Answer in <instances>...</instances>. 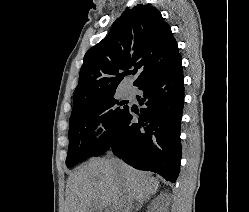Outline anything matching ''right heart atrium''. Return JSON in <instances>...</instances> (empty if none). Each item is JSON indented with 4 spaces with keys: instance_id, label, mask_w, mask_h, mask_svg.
<instances>
[{
    "instance_id": "d8ad5b80",
    "label": "right heart atrium",
    "mask_w": 249,
    "mask_h": 212,
    "mask_svg": "<svg viewBox=\"0 0 249 212\" xmlns=\"http://www.w3.org/2000/svg\"><path fill=\"white\" fill-rule=\"evenodd\" d=\"M90 132L94 141H104L109 133V124L107 119L102 115L94 118L91 123Z\"/></svg>"
}]
</instances>
